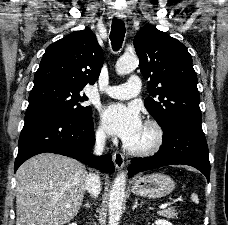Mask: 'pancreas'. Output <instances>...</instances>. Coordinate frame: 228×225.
Returning a JSON list of instances; mask_svg holds the SVG:
<instances>
[{
    "label": "pancreas",
    "instance_id": "1",
    "mask_svg": "<svg viewBox=\"0 0 228 225\" xmlns=\"http://www.w3.org/2000/svg\"><path fill=\"white\" fill-rule=\"evenodd\" d=\"M159 215L167 217V219H177L178 213H176V209H164V211H159Z\"/></svg>",
    "mask_w": 228,
    "mask_h": 225
}]
</instances>
